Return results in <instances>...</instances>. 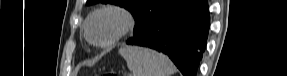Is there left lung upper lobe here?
Segmentation results:
<instances>
[{
	"label": "left lung upper lobe",
	"instance_id": "5c2ea615",
	"mask_svg": "<svg viewBox=\"0 0 287 76\" xmlns=\"http://www.w3.org/2000/svg\"><path fill=\"white\" fill-rule=\"evenodd\" d=\"M183 0H87L86 5L112 3L128 9L135 19L134 36L145 29L155 17L166 11L174 3Z\"/></svg>",
	"mask_w": 287,
	"mask_h": 76
}]
</instances>
